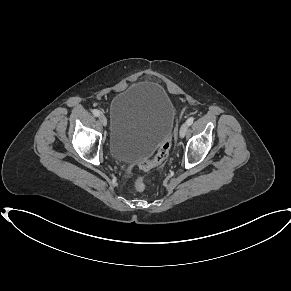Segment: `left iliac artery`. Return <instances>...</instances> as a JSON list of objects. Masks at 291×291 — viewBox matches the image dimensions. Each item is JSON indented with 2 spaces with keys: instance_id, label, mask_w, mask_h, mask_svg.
<instances>
[{
  "instance_id": "1",
  "label": "left iliac artery",
  "mask_w": 291,
  "mask_h": 291,
  "mask_svg": "<svg viewBox=\"0 0 291 291\" xmlns=\"http://www.w3.org/2000/svg\"><path fill=\"white\" fill-rule=\"evenodd\" d=\"M193 121H194V118H193V117H190V118L186 121V123L190 126V125L193 123Z\"/></svg>"
}]
</instances>
